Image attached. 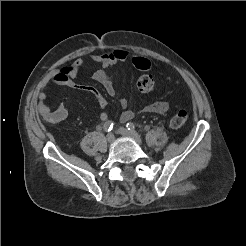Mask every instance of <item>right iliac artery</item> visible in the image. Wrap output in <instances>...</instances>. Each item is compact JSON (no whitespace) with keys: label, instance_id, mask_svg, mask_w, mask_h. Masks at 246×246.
<instances>
[{"label":"right iliac artery","instance_id":"right-iliac-artery-1","mask_svg":"<svg viewBox=\"0 0 246 246\" xmlns=\"http://www.w3.org/2000/svg\"><path fill=\"white\" fill-rule=\"evenodd\" d=\"M103 129L108 132L111 131L113 129L112 121H106L103 125Z\"/></svg>","mask_w":246,"mask_h":246}]
</instances>
